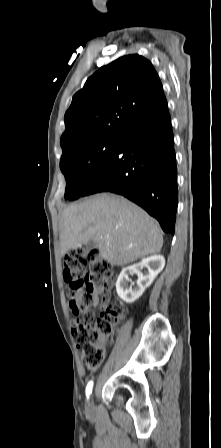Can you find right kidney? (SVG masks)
Here are the masks:
<instances>
[{
	"label": "right kidney",
	"instance_id": "obj_1",
	"mask_svg": "<svg viewBox=\"0 0 221 448\" xmlns=\"http://www.w3.org/2000/svg\"><path fill=\"white\" fill-rule=\"evenodd\" d=\"M164 266V257L162 255H153L142 259L137 264L123 268L116 282L118 296L126 303H133L143 294L145 289L163 270ZM144 268L147 269L145 274L142 272ZM133 274L138 276L135 288H132V284L129 286V276Z\"/></svg>",
	"mask_w": 221,
	"mask_h": 448
}]
</instances>
